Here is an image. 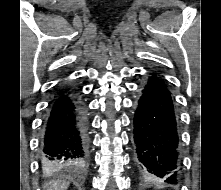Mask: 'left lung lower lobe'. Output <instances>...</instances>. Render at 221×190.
Listing matches in <instances>:
<instances>
[{
	"label": "left lung lower lobe",
	"mask_w": 221,
	"mask_h": 190,
	"mask_svg": "<svg viewBox=\"0 0 221 190\" xmlns=\"http://www.w3.org/2000/svg\"><path fill=\"white\" fill-rule=\"evenodd\" d=\"M133 126L137 169L143 174L177 184V114L166 83L156 73H151L142 86Z\"/></svg>",
	"instance_id": "left-lung-lower-lobe-1"
}]
</instances>
